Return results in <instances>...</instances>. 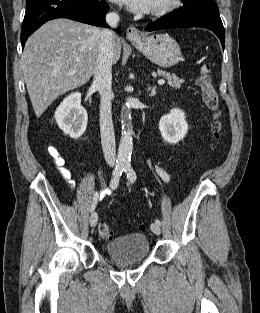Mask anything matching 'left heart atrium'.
<instances>
[{"label":"left heart atrium","mask_w":260,"mask_h":313,"mask_svg":"<svg viewBox=\"0 0 260 313\" xmlns=\"http://www.w3.org/2000/svg\"><path fill=\"white\" fill-rule=\"evenodd\" d=\"M125 5L130 11L141 13L152 9L154 0H113Z\"/></svg>","instance_id":"39dd6f15"}]
</instances>
